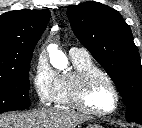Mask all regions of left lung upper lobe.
<instances>
[{
	"instance_id": "obj_1",
	"label": "left lung upper lobe",
	"mask_w": 142,
	"mask_h": 128,
	"mask_svg": "<svg viewBox=\"0 0 142 128\" xmlns=\"http://www.w3.org/2000/svg\"><path fill=\"white\" fill-rule=\"evenodd\" d=\"M67 15L77 38L117 85L127 121L142 125V65L129 26L118 11L94 1L69 7Z\"/></svg>"
}]
</instances>
